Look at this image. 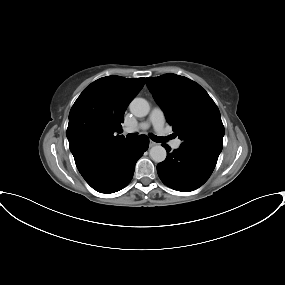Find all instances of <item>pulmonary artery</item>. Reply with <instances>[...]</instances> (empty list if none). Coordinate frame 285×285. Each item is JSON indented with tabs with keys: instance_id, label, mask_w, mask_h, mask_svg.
<instances>
[{
	"instance_id": "obj_1",
	"label": "pulmonary artery",
	"mask_w": 285,
	"mask_h": 285,
	"mask_svg": "<svg viewBox=\"0 0 285 285\" xmlns=\"http://www.w3.org/2000/svg\"><path fill=\"white\" fill-rule=\"evenodd\" d=\"M165 118L162 110L158 107L153 108L148 119L142 123H140L136 128H127L125 131L127 133L134 132L136 130L148 129L151 125L154 127V130L161 136H166L167 131L164 126ZM168 138V137H167ZM169 139V138H168ZM170 145L174 149H178L181 145L180 139H172L170 140Z\"/></svg>"
}]
</instances>
